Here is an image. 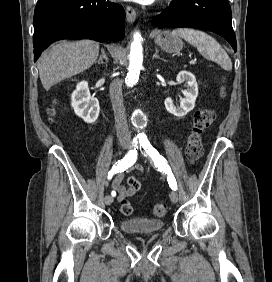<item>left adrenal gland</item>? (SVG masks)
I'll return each instance as SVG.
<instances>
[{
	"mask_svg": "<svg viewBox=\"0 0 272 282\" xmlns=\"http://www.w3.org/2000/svg\"><path fill=\"white\" fill-rule=\"evenodd\" d=\"M158 52L159 50L157 48H155V53L153 54L152 56V59H161L163 61H166L164 58H161L159 55H158Z\"/></svg>",
	"mask_w": 272,
	"mask_h": 282,
	"instance_id": "obj_1",
	"label": "left adrenal gland"
}]
</instances>
